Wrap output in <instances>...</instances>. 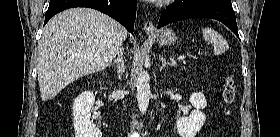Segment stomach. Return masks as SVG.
<instances>
[{
  "label": "stomach",
  "mask_w": 280,
  "mask_h": 137,
  "mask_svg": "<svg viewBox=\"0 0 280 137\" xmlns=\"http://www.w3.org/2000/svg\"><path fill=\"white\" fill-rule=\"evenodd\" d=\"M155 36L158 43L164 46L172 45L177 39L176 33L171 29H161Z\"/></svg>",
  "instance_id": "1"
}]
</instances>
